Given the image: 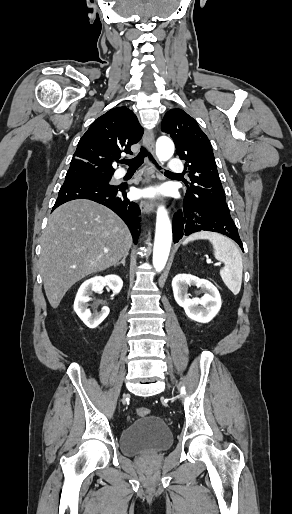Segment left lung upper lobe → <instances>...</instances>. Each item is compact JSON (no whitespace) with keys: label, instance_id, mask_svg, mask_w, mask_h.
<instances>
[{"label":"left lung upper lobe","instance_id":"obj_1","mask_svg":"<svg viewBox=\"0 0 292 514\" xmlns=\"http://www.w3.org/2000/svg\"><path fill=\"white\" fill-rule=\"evenodd\" d=\"M161 130L171 136L190 178L186 194L205 203L227 206L211 143L198 123L181 109L169 110Z\"/></svg>","mask_w":292,"mask_h":514}]
</instances>
